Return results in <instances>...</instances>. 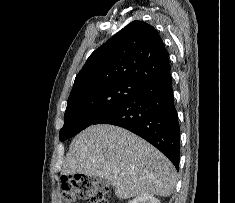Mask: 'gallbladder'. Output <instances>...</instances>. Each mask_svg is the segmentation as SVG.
<instances>
[{"label":"gallbladder","instance_id":"gallbladder-1","mask_svg":"<svg viewBox=\"0 0 235 203\" xmlns=\"http://www.w3.org/2000/svg\"><path fill=\"white\" fill-rule=\"evenodd\" d=\"M101 182H102V185L110 186L111 184L107 179H102Z\"/></svg>","mask_w":235,"mask_h":203}]
</instances>
